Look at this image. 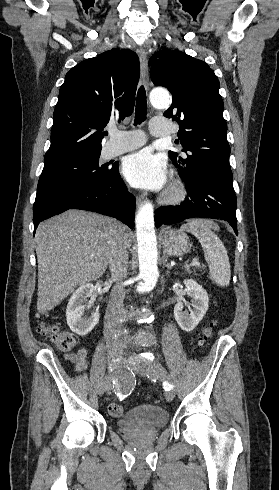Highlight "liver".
Returning a JSON list of instances; mask_svg holds the SVG:
<instances>
[{"mask_svg": "<svg viewBox=\"0 0 279 490\" xmlns=\"http://www.w3.org/2000/svg\"><path fill=\"white\" fill-rule=\"evenodd\" d=\"M113 218L67 210L39 224L35 234L38 262L37 310H53L75 288L103 276L117 230L127 244V226Z\"/></svg>", "mask_w": 279, "mask_h": 490, "instance_id": "1", "label": "liver"}]
</instances>
